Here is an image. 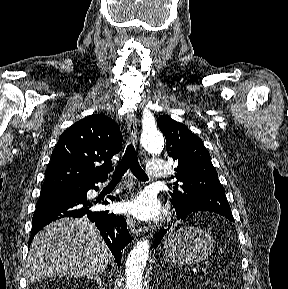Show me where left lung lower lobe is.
Here are the masks:
<instances>
[{
  "mask_svg": "<svg viewBox=\"0 0 288 289\" xmlns=\"http://www.w3.org/2000/svg\"><path fill=\"white\" fill-rule=\"evenodd\" d=\"M175 210H176L177 218H182L189 213L187 211H181L177 208H175ZM166 232L167 230L165 229H161L158 232H156L154 243H153L154 248H156L159 245L160 241L162 240Z\"/></svg>",
  "mask_w": 288,
  "mask_h": 289,
  "instance_id": "1",
  "label": "left lung lower lobe"
}]
</instances>
